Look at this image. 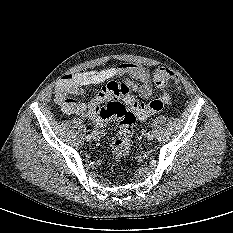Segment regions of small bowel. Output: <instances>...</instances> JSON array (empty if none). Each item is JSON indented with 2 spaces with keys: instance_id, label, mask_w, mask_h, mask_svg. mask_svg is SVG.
<instances>
[{
  "instance_id": "obj_1",
  "label": "small bowel",
  "mask_w": 233,
  "mask_h": 233,
  "mask_svg": "<svg viewBox=\"0 0 233 233\" xmlns=\"http://www.w3.org/2000/svg\"><path fill=\"white\" fill-rule=\"evenodd\" d=\"M114 77H127L123 83L109 81ZM107 82L101 91L93 98L89 106L72 98L83 94L84 88ZM121 86L128 91L136 92L141 98H148L152 94V77L150 71L138 64L122 63L101 70H89L85 72L66 75L56 86L54 95L56 103L64 113L78 115L80 117L90 116V110L94 105H100L110 100L122 97ZM103 125L104 123H95Z\"/></svg>"
}]
</instances>
